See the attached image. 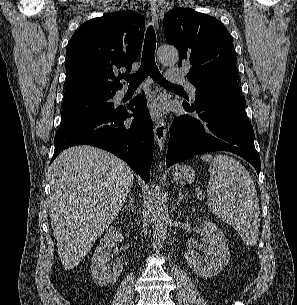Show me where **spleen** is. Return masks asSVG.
Wrapping results in <instances>:
<instances>
[{"label": "spleen", "instance_id": "obj_1", "mask_svg": "<svg viewBox=\"0 0 297 305\" xmlns=\"http://www.w3.org/2000/svg\"><path fill=\"white\" fill-rule=\"evenodd\" d=\"M210 162V179L207 186L208 207L223 222L233 227L243 241L255 245L260 212L254 182L246 168L226 155L201 156Z\"/></svg>", "mask_w": 297, "mask_h": 305}]
</instances>
